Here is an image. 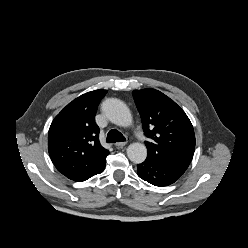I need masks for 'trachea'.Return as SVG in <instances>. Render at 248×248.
I'll return each instance as SVG.
<instances>
[{
	"label": "trachea",
	"mask_w": 248,
	"mask_h": 248,
	"mask_svg": "<svg viewBox=\"0 0 248 248\" xmlns=\"http://www.w3.org/2000/svg\"><path fill=\"white\" fill-rule=\"evenodd\" d=\"M125 137L122 135V133H120L119 131L113 129L110 130L107 134V138L106 141L108 143H115V142H123L125 141Z\"/></svg>",
	"instance_id": "1"
}]
</instances>
